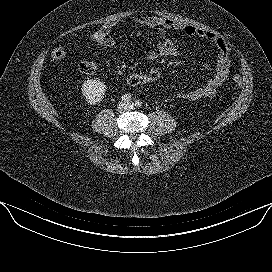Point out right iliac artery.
Returning <instances> with one entry per match:
<instances>
[{
  "mask_svg": "<svg viewBox=\"0 0 272 272\" xmlns=\"http://www.w3.org/2000/svg\"><path fill=\"white\" fill-rule=\"evenodd\" d=\"M121 100L123 102H129L131 100V95L129 94H124L122 97H121Z\"/></svg>",
  "mask_w": 272,
  "mask_h": 272,
  "instance_id": "obj_1",
  "label": "right iliac artery"
}]
</instances>
